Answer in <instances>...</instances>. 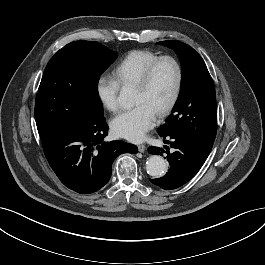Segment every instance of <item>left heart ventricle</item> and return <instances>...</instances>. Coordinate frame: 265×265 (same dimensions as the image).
<instances>
[{
	"label": "left heart ventricle",
	"instance_id": "1",
	"mask_svg": "<svg viewBox=\"0 0 265 265\" xmlns=\"http://www.w3.org/2000/svg\"><path fill=\"white\" fill-rule=\"evenodd\" d=\"M175 84V66L170 61H163L156 67L146 90L135 88L133 104H144L157 114L171 99Z\"/></svg>",
	"mask_w": 265,
	"mask_h": 265
}]
</instances>
